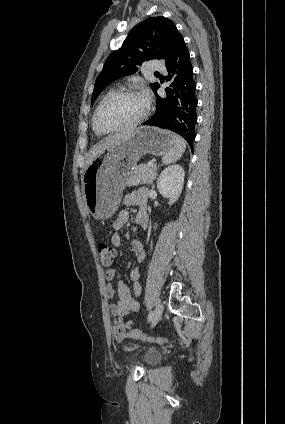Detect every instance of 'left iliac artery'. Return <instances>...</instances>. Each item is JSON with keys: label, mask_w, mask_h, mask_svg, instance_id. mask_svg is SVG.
I'll list each match as a JSON object with an SVG mask.
<instances>
[{"label": "left iliac artery", "mask_w": 285, "mask_h": 424, "mask_svg": "<svg viewBox=\"0 0 285 424\" xmlns=\"http://www.w3.org/2000/svg\"><path fill=\"white\" fill-rule=\"evenodd\" d=\"M153 316H154V312L151 311L148 315V322H150L153 319Z\"/></svg>", "instance_id": "1"}]
</instances>
